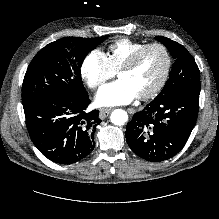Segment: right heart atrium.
Wrapping results in <instances>:
<instances>
[{
	"label": "right heart atrium",
	"mask_w": 219,
	"mask_h": 219,
	"mask_svg": "<svg viewBox=\"0 0 219 219\" xmlns=\"http://www.w3.org/2000/svg\"><path fill=\"white\" fill-rule=\"evenodd\" d=\"M114 74L106 54L99 49L90 51L82 61L81 76L91 89L100 88Z\"/></svg>",
	"instance_id": "obj_1"
}]
</instances>
